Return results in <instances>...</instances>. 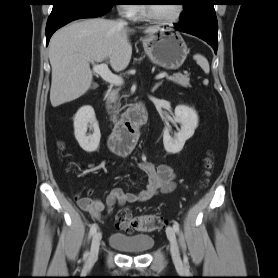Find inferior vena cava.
<instances>
[{
  "instance_id": "1",
  "label": "inferior vena cava",
  "mask_w": 278,
  "mask_h": 278,
  "mask_svg": "<svg viewBox=\"0 0 278 278\" xmlns=\"http://www.w3.org/2000/svg\"><path fill=\"white\" fill-rule=\"evenodd\" d=\"M119 24H125L123 20L118 21Z\"/></svg>"
}]
</instances>
